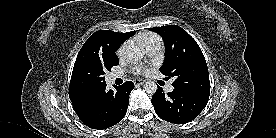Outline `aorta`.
Masks as SVG:
<instances>
[{
	"label": "aorta",
	"mask_w": 276,
	"mask_h": 138,
	"mask_svg": "<svg viewBox=\"0 0 276 138\" xmlns=\"http://www.w3.org/2000/svg\"><path fill=\"white\" fill-rule=\"evenodd\" d=\"M126 57L131 64H136L143 59L144 51L138 47H130L126 52ZM144 90L152 95L157 91V84L154 81H147L144 84Z\"/></svg>",
	"instance_id": "762f6f07"
}]
</instances>
